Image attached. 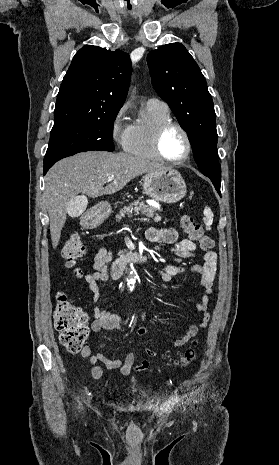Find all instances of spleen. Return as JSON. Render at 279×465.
<instances>
[{
	"instance_id": "3e777b00",
	"label": "spleen",
	"mask_w": 279,
	"mask_h": 465,
	"mask_svg": "<svg viewBox=\"0 0 279 465\" xmlns=\"http://www.w3.org/2000/svg\"><path fill=\"white\" fill-rule=\"evenodd\" d=\"M203 214H204V218H203V221L205 223L206 226H210L212 225L213 223V212L211 211V209L209 207H206L203 211Z\"/></svg>"
}]
</instances>
